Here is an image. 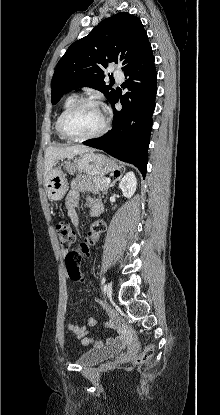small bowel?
Listing matches in <instances>:
<instances>
[{
	"label": "small bowel",
	"mask_w": 220,
	"mask_h": 415,
	"mask_svg": "<svg viewBox=\"0 0 220 415\" xmlns=\"http://www.w3.org/2000/svg\"><path fill=\"white\" fill-rule=\"evenodd\" d=\"M87 191H95L88 183L82 180H76L72 184V189L67 195V212L76 227L79 225V213L78 210L81 206V194ZM86 206L89 209V214L93 217L99 216L103 212V204L99 198H87ZM105 230V224L99 220L94 222L90 226L89 233L84 240L89 247L93 246L100 234ZM96 324L94 318H87L84 325H78L75 323H68L66 328L72 332L82 343L83 346H92L95 349H100L108 346H114L118 340L116 338H109L105 341L96 340L89 336L88 327H93Z\"/></svg>",
	"instance_id": "c3829d8e"
}]
</instances>
